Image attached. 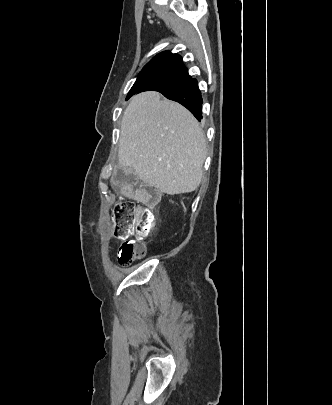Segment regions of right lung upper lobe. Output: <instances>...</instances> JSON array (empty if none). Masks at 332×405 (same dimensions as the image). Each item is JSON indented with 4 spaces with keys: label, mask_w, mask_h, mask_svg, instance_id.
<instances>
[{
    "label": "right lung upper lobe",
    "mask_w": 332,
    "mask_h": 405,
    "mask_svg": "<svg viewBox=\"0 0 332 405\" xmlns=\"http://www.w3.org/2000/svg\"><path fill=\"white\" fill-rule=\"evenodd\" d=\"M143 72H159L173 76L182 77L184 80L190 79L187 68L182 63V58L178 54L164 51L152 58L142 69Z\"/></svg>",
    "instance_id": "cb5924a9"
}]
</instances>
